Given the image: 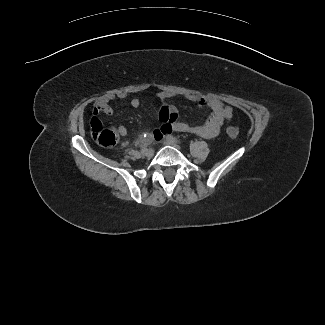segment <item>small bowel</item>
Returning <instances> with one entry per match:
<instances>
[{"label": "small bowel", "instance_id": "c3829d8e", "mask_svg": "<svg viewBox=\"0 0 325 325\" xmlns=\"http://www.w3.org/2000/svg\"><path fill=\"white\" fill-rule=\"evenodd\" d=\"M176 94L168 91H161L157 97L161 102V107L158 113L159 119L163 122V125L154 130L156 137H162L163 135L170 133L171 131L196 134L204 138L216 137L224 123L232 118L233 110L231 107L225 105L217 98L210 96H203L199 94L186 93L182 96L191 102L196 103L199 106H207L211 110L210 116L199 125H189L179 120L178 109L167 103L170 97ZM127 94L124 92L108 93L100 96L94 104V114L103 113L107 116L113 114V109L110 106V102L116 99H125ZM130 105L134 108L140 106V100L138 98H132L129 101ZM117 131L120 135L126 134V129L123 126H119Z\"/></svg>", "mask_w": 325, "mask_h": 325}]
</instances>
